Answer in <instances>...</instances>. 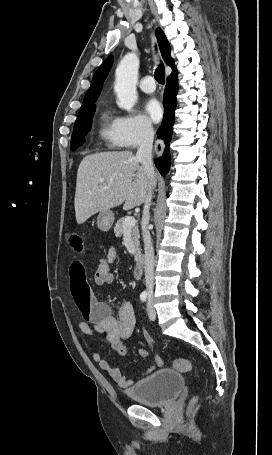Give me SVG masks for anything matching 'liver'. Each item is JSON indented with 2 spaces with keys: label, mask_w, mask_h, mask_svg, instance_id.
Instances as JSON below:
<instances>
[{
  "label": "liver",
  "mask_w": 272,
  "mask_h": 455,
  "mask_svg": "<svg viewBox=\"0 0 272 455\" xmlns=\"http://www.w3.org/2000/svg\"><path fill=\"white\" fill-rule=\"evenodd\" d=\"M132 151L102 152L84 157L76 182V221L84 223L97 212L124 203L129 210L145 202L156 177H149ZM104 179V182H100Z\"/></svg>",
  "instance_id": "1"
}]
</instances>
